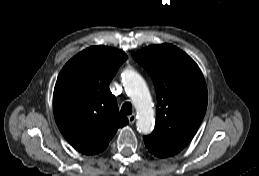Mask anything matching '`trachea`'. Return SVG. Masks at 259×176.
Here are the masks:
<instances>
[{"instance_id": "obj_1", "label": "trachea", "mask_w": 259, "mask_h": 176, "mask_svg": "<svg viewBox=\"0 0 259 176\" xmlns=\"http://www.w3.org/2000/svg\"><path fill=\"white\" fill-rule=\"evenodd\" d=\"M121 112L125 115L132 114V104L130 102H125L121 107Z\"/></svg>"}]
</instances>
